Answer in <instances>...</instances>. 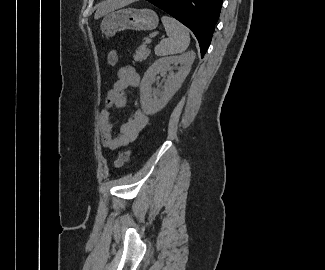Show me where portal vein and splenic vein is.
<instances>
[{"mask_svg":"<svg viewBox=\"0 0 325 270\" xmlns=\"http://www.w3.org/2000/svg\"><path fill=\"white\" fill-rule=\"evenodd\" d=\"M146 42H147V43H150V42H151V40H150V39H147V40H146Z\"/></svg>","mask_w":325,"mask_h":270,"instance_id":"18ae733b","label":"portal vein and splenic vein"}]
</instances>
